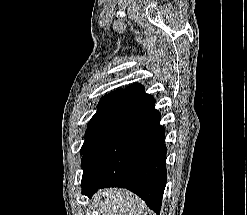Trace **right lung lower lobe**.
I'll return each instance as SVG.
<instances>
[{
  "label": "right lung lower lobe",
  "instance_id": "right-lung-lower-lobe-1",
  "mask_svg": "<svg viewBox=\"0 0 247 215\" xmlns=\"http://www.w3.org/2000/svg\"><path fill=\"white\" fill-rule=\"evenodd\" d=\"M153 96L141 84L124 90L86 138L80 152L82 194L104 187L136 193L159 214L166 185L165 129Z\"/></svg>",
  "mask_w": 247,
  "mask_h": 215
}]
</instances>
